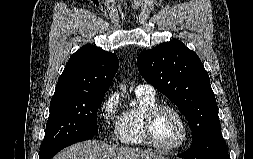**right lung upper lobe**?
<instances>
[{
	"label": "right lung upper lobe",
	"instance_id": "obj_1",
	"mask_svg": "<svg viewBox=\"0 0 253 159\" xmlns=\"http://www.w3.org/2000/svg\"><path fill=\"white\" fill-rule=\"evenodd\" d=\"M118 66L115 54L93 45H84L70 57L52 98L81 93L105 94Z\"/></svg>",
	"mask_w": 253,
	"mask_h": 159
}]
</instances>
